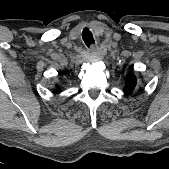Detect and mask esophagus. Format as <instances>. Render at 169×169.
I'll list each match as a JSON object with an SVG mask.
<instances>
[{
    "mask_svg": "<svg viewBox=\"0 0 169 169\" xmlns=\"http://www.w3.org/2000/svg\"><path fill=\"white\" fill-rule=\"evenodd\" d=\"M90 50H91V51L95 50V45H91V46H90Z\"/></svg>",
    "mask_w": 169,
    "mask_h": 169,
    "instance_id": "obj_1",
    "label": "esophagus"
}]
</instances>
